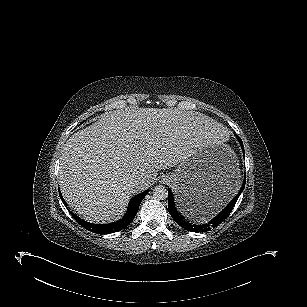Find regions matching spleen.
<instances>
[{"instance_id": "obj_1", "label": "spleen", "mask_w": 307, "mask_h": 307, "mask_svg": "<svg viewBox=\"0 0 307 307\" xmlns=\"http://www.w3.org/2000/svg\"><path fill=\"white\" fill-rule=\"evenodd\" d=\"M223 206H219L218 208L210 207L207 210L199 211L195 216L191 217L198 221H205L211 217H213Z\"/></svg>"}]
</instances>
